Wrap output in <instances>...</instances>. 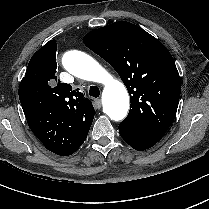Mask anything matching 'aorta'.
I'll list each match as a JSON object with an SVG mask.
<instances>
[{"label":"aorta","mask_w":209,"mask_h":209,"mask_svg":"<svg viewBox=\"0 0 209 209\" xmlns=\"http://www.w3.org/2000/svg\"><path fill=\"white\" fill-rule=\"evenodd\" d=\"M62 63L66 70L76 77L104 84L103 110L111 120L120 121L126 117L129 110V96L125 86L94 58L84 52L72 50L64 54Z\"/></svg>","instance_id":"aorta-1"}]
</instances>
